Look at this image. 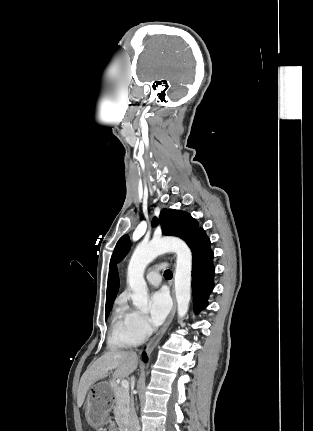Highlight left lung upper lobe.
Returning <instances> with one entry per match:
<instances>
[{
  "instance_id": "5c2ea615",
  "label": "left lung upper lobe",
  "mask_w": 313,
  "mask_h": 431,
  "mask_svg": "<svg viewBox=\"0 0 313 431\" xmlns=\"http://www.w3.org/2000/svg\"><path fill=\"white\" fill-rule=\"evenodd\" d=\"M160 223L164 235H172L183 239L188 246L194 242L195 238L202 230L198 227L197 221L187 212L173 209H163L160 213ZM152 224L157 225L154 218ZM131 243L128 235L122 236L116 244L111 261L116 263L121 261L130 250Z\"/></svg>"
}]
</instances>
